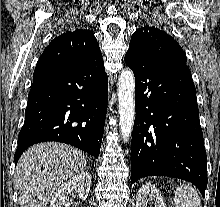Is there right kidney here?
<instances>
[{"mask_svg": "<svg viewBox=\"0 0 220 207\" xmlns=\"http://www.w3.org/2000/svg\"><path fill=\"white\" fill-rule=\"evenodd\" d=\"M91 187V174L89 172H81L73 176L69 181L64 182L54 192L49 207H69V197L75 190L78 193V197L82 200L88 197Z\"/></svg>", "mask_w": 220, "mask_h": 207, "instance_id": "right-kidney-1", "label": "right kidney"}]
</instances>
